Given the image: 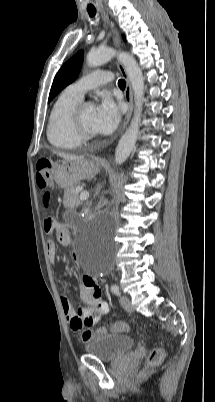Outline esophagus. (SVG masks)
I'll use <instances>...</instances> for the list:
<instances>
[{
	"mask_svg": "<svg viewBox=\"0 0 215 402\" xmlns=\"http://www.w3.org/2000/svg\"><path fill=\"white\" fill-rule=\"evenodd\" d=\"M102 15H103L104 19L108 21V15L103 11H102ZM113 39H114L115 46L119 47L120 46V37H119V34L117 33V31H114ZM117 67H118L119 71L121 72L123 78L126 80L125 100L128 104V112H127L124 122H123V130H124L126 128V126L128 125V122L130 120L132 110H133V93H132V87H131V84H130V81L128 78V74H127L124 66L122 65V63L117 62Z\"/></svg>",
	"mask_w": 215,
	"mask_h": 402,
	"instance_id": "34e87169",
	"label": "esophagus"
}]
</instances>
